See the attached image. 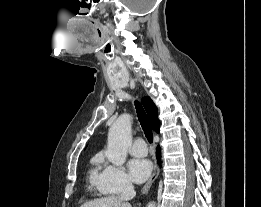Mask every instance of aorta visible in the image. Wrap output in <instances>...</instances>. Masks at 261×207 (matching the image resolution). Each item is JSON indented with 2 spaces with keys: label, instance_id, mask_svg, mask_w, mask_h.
<instances>
[{
  "label": "aorta",
  "instance_id": "762f6f07",
  "mask_svg": "<svg viewBox=\"0 0 261 207\" xmlns=\"http://www.w3.org/2000/svg\"><path fill=\"white\" fill-rule=\"evenodd\" d=\"M131 119L130 115L123 114L109 129L105 156L115 166H121L126 161L127 151L132 143ZM147 207H156V203L150 202Z\"/></svg>",
  "mask_w": 261,
  "mask_h": 207
}]
</instances>
